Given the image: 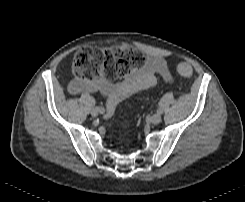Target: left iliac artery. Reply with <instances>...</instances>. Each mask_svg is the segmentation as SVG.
<instances>
[{
    "mask_svg": "<svg viewBox=\"0 0 245 202\" xmlns=\"http://www.w3.org/2000/svg\"><path fill=\"white\" fill-rule=\"evenodd\" d=\"M157 113L158 114H161L162 113V110L160 108L157 109Z\"/></svg>",
    "mask_w": 245,
    "mask_h": 202,
    "instance_id": "left-iliac-artery-1",
    "label": "left iliac artery"
}]
</instances>
